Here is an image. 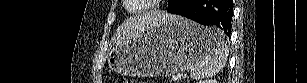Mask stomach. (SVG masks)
I'll return each instance as SVG.
<instances>
[{"label": "stomach", "instance_id": "0dacf381", "mask_svg": "<svg viewBox=\"0 0 307 83\" xmlns=\"http://www.w3.org/2000/svg\"><path fill=\"white\" fill-rule=\"evenodd\" d=\"M212 51L209 29L175 16L117 44L108 65L127 76H169L188 70Z\"/></svg>", "mask_w": 307, "mask_h": 83}]
</instances>
